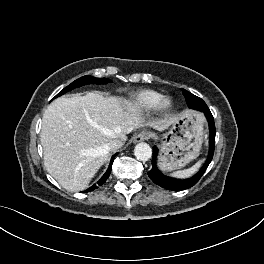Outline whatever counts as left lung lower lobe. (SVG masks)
Wrapping results in <instances>:
<instances>
[{
  "label": "left lung lower lobe",
  "instance_id": "1",
  "mask_svg": "<svg viewBox=\"0 0 264 264\" xmlns=\"http://www.w3.org/2000/svg\"><path fill=\"white\" fill-rule=\"evenodd\" d=\"M209 123V129H210V141H209V157L207 158L205 164L203 167L200 169V171L194 175L191 178L185 179V180H179V179H174L171 177L164 176L163 174L160 173L158 168L156 167V155H157V148L153 149V159H152V168L148 172V176L150 179L156 183L157 185L168 189V190H185L187 188H190L194 186L199 179L202 177L204 172L206 171L208 165L210 164L213 154H214V147H215V134H216V129H215V124H214V118L209 110L208 107L206 108H200Z\"/></svg>",
  "mask_w": 264,
  "mask_h": 264
}]
</instances>
